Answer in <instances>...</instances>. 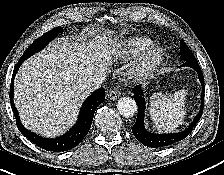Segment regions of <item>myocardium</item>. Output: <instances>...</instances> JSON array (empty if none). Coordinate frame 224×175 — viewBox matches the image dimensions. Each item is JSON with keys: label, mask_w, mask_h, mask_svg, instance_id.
Masks as SVG:
<instances>
[{"label": "myocardium", "mask_w": 224, "mask_h": 175, "mask_svg": "<svg viewBox=\"0 0 224 175\" xmlns=\"http://www.w3.org/2000/svg\"><path fill=\"white\" fill-rule=\"evenodd\" d=\"M165 58V50L159 46H151L141 53L135 64L131 67L129 74L132 79L144 78L162 64Z\"/></svg>", "instance_id": "obj_1"}]
</instances>
